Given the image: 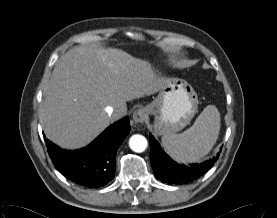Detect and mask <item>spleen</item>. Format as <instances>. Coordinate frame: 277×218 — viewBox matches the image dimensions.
<instances>
[{
    "instance_id": "1",
    "label": "spleen",
    "mask_w": 277,
    "mask_h": 218,
    "mask_svg": "<svg viewBox=\"0 0 277 218\" xmlns=\"http://www.w3.org/2000/svg\"><path fill=\"white\" fill-rule=\"evenodd\" d=\"M219 131L220 113L214 105H208L189 129L164 135L162 145L176 161L197 162L213 148Z\"/></svg>"
}]
</instances>
